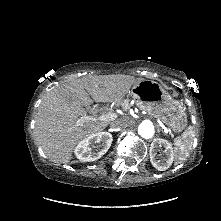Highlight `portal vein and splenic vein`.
I'll list each match as a JSON object with an SVG mask.
<instances>
[{
  "label": "portal vein and splenic vein",
  "mask_w": 221,
  "mask_h": 221,
  "mask_svg": "<svg viewBox=\"0 0 221 221\" xmlns=\"http://www.w3.org/2000/svg\"><path fill=\"white\" fill-rule=\"evenodd\" d=\"M117 118V114L116 113H107V114H103V115H100L98 118H93V117H90V116H87V115H83L80 120H79V123H83L87 120H103V121H113ZM166 132L167 129L165 130ZM171 136L173 137V135L171 134Z\"/></svg>",
  "instance_id": "obj_1"
}]
</instances>
